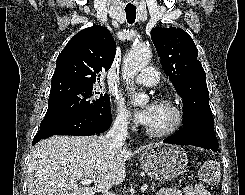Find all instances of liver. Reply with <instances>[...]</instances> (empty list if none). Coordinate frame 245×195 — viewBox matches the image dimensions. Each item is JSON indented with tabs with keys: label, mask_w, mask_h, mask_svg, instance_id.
<instances>
[{
	"label": "liver",
	"mask_w": 245,
	"mask_h": 195,
	"mask_svg": "<svg viewBox=\"0 0 245 195\" xmlns=\"http://www.w3.org/2000/svg\"><path fill=\"white\" fill-rule=\"evenodd\" d=\"M113 146L106 136H52L35 145L28 166V195H95L121 184L125 163L134 154ZM89 179L92 186H78Z\"/></svg>",
	"instance_id": "liver-1"
}]
</instances>
